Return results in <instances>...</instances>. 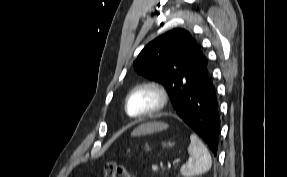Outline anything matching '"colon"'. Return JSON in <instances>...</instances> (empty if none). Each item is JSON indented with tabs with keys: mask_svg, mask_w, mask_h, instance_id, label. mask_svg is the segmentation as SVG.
Masks as SVG:
<instances>
[{
	"mask_svg": "<svg viewBox=\"0 0 287 177\" xmlns=\"http://www.w3.org/2000/svg\"><path fill=\"white\" fill-rule=\"evenodd\" d=\"M103 177H136L129 169L115 162H107L102 168Z\"/></svg>",
	"mask_w": 287,
	"mask_h": 177,
	"instance_id": "colon-1",
	"label": "colon"
}]
</instances>
